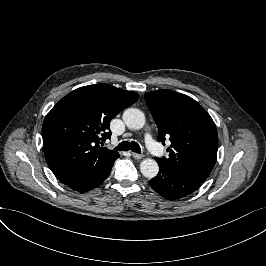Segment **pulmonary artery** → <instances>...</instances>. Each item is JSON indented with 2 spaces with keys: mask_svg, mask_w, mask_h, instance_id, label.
Returning a JSON list of instances; mask_svg holds the SVG:
<instances>
[{
  "mask_svg": "<svg viewBox=\"0 0 266 266\" xmlns=\"http://www.w3.org/2000/svg\"><path fill=\"white\" fill-rule=\"evenodd\" d=\"M145 144L148 150H150L151 153L158 155L160 154L162 147L159 144H155L153 137L148 136L145 139Z\"/></svg>",
  "mask_w": 266,
  "mask_h": 266,
  "instance_id": "1",
  "label": "pulmonary artery"
}]
</instances>
